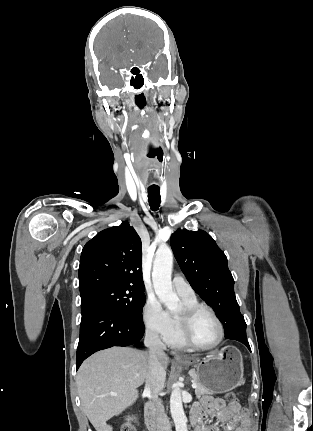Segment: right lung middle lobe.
Returning <instances> with one entry per match:
<instances>
[{
  "mask_svg": "<svg viewBox=\"0 0 313 431\" xmlns=\"http://www.w3.org/2000/svg\"><path fill=\"white\" fill-rule=\"evenodd\" d=\"M145 301L144 289L126 285L114 286L81 297V312L103 306L117 310L142 324Z\"/></svg>",
  "mask_w": 313,
  "mask_h": 431,
  "instance_id": "right-lung-middle-lobe-1",
  "label": "right lung middle lobe"
}]
</instances>
